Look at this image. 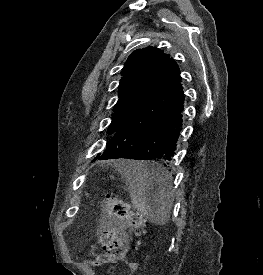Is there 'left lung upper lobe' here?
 <instances>
[{"mask_svg":"<svg viewBox=\"0 0 263 275\" xmlns=\"http://www.w3.org/2000/svg\"><path fill=\"white\" fill-rule=\"evenodd\" d=\"M174 62L162 50L148 46L133 51L125 63L108 134H114L131 116L145 96L157 85Z\"/></svg>","mask_w":263,"mask_h":275,"instance_id":"5c2ea615","label":"left lung upper lobe"}]
</instances>
